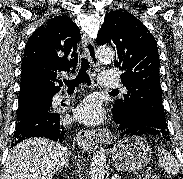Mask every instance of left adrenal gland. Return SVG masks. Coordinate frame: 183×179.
Masks as SVG:
<instances>
[{
    "instance_id": "a2214340",
    "label": "left adrenal gland",
    "mask_w": 183,
    "mask_h": 179,
    "mask_svg": "<svg viewBox=\"0 0 183 179\" xmlns=\"http://www.w3.org/2000/svg\"><path fill=\"white\" fill-rule=\"evenodd\" d=\"M111 179H120V176L118 174L112 175Z\"/></svg>"
}]
</instances>
